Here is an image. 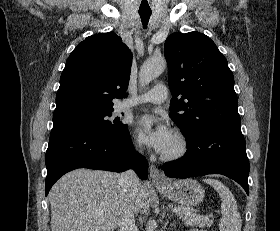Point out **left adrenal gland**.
<instances>
[{
  "label": "left adrenal gland",
  "instance_id": "obj_1",
  "mask_svg": "<svg viewBox=\"0 0 280 231\" xmlns=\"http://www.w3.org/2000/svg\"><path fill=\"white\" fill-rule=\"evenodd\" d=\"M167 221H168V219H167ZM171 225H175V223H171Z\"/></svg>",
  "mask_w": 280,
  "mask_h": 231
}]
</instances>
